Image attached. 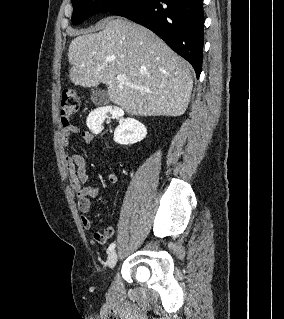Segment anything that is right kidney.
<instances>
[{"mask_svg":"<svg viewBox=\"0 0 284 319\" xmlns=\"http://www.w3.org/2000/svg\"><path fill=\"white\" fill-rule=\"evenodd\" d=\"M111 112L114 116L122 117L124 111L119 108H98L92 111L87 117V126L94 132L99 133L102 130V123ZM147 135V129L144 124L133 118H126L120 121L119 126L114 131V141L121 145H131L142 141Z\"/></svg>","mask_w":284,"mask_h":319,"instance_id":"right-kidney-1","label":"right kidney"}]
</instances>
